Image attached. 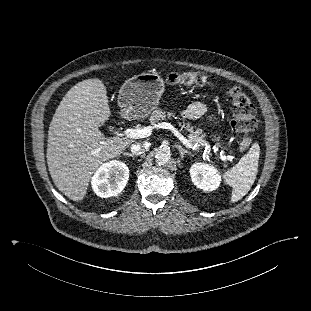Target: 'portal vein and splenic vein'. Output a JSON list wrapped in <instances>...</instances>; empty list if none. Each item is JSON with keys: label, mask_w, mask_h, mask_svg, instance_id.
<instances>
[{"label": "portal vein and splenic vein", "mask_w": 311, "mask_h": 311, "mask_svg": "<svg viewBox=\"0 0 311 311\" xmlns=\"http://www.w3.org/2000/svg\"><path fill=\"white\" fill-rule=\"evenodd\" d=\"M153 128H163L170 130L186 147L192 148V149H198L196 145H193L188 139H186L178 130L175 128L171 123L162 122L159 124L154 125L153 127L147 126L143 128H128L124 131V134L133 139H140V138H146L149 137L152 133ZM219 158L223 161L233 160V156H225L220 155Z\"/></svg>", "instance_id": "obj_1"}]
</instances>
